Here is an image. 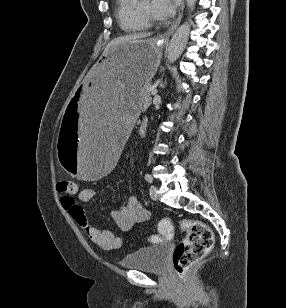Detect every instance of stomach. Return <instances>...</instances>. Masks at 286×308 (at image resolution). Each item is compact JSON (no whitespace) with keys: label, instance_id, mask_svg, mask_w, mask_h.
<instances>
[{"label":"stomach","instance_id":"stomach-1","mask_svg":"<svg viewBox=\"0 0 286 308\" xmlns=\"http://www.w3.org/2000/svg\"><path fill=\"white\" fill-rule=\"evenodd\" d=\"M162 45L157 39L129 40L95 60L60 118L57 152L64 173L82 182H103L114 173L128 144L125 132L144 106L141 89L160 64Z\"/></svg>","mask_w":286,"mask_h":308}]
</instances>
